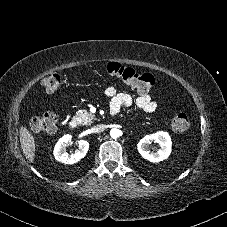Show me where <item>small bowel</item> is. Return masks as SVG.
Returning <instances> with one entry per match:
<instances>
[{
    "mask_svg": "<svg viewBox=\"0 0 227 227\" xmlns=\"http://www.w3.org/2000/svg\"><path fill=\"white\" fill-rule=\"evenodd\" d=\"M105 94L111 99V110H115L116 112H118L121 108H129L133 104L147 113L155 112L158 107L157 103L148 93H140L139 96L133 100L130 95L119 93L115 87L109 86L105 90Z\"/></svg>",
    "mask_w": 227,
    "mask_h": 227,
    "instance_id": "1",
    "label": "small bowel"
}]
</instances>
